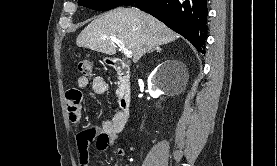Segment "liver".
Returning <instances> with one entry per match:
<instances>
[{"mask_svg":"<svg viewBox=\"0 0 277 166\" xmlns=\"http://www.w3.org/2000/svg\"><path fill=\"white\" fill-rule=\"evenodd\" d=\"M103 36L119 39L132 52L133 62L149 50L171 43L179 35L162 22L134 7L116 8L93 20L76 39L78 47L114 55L116 45Z\"/></svg>","mask_w":277,"mask_h":166,"instance_id":"obj_1","label":"liver"}]
</instances>
